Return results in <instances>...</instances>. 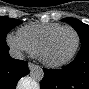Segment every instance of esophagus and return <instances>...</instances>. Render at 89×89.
<instances>
[{
  "mask_svg": "<svg viewBox=\"0 0 89 89\" xmlns=\"http://www.w3.org/2000/svg\"><path fill=\"white\" fill-rule=\"evenodd\" d=\"M28 66H29V69L30 70H33L34 68H37L38 67L37 65H35L33 63H29Z\"/></svg>",
  "mask_w": 89,
  "mask_h": 89,
  "instance_id": "obj_1",
  "label": "esophagus"
}]
</instances>
